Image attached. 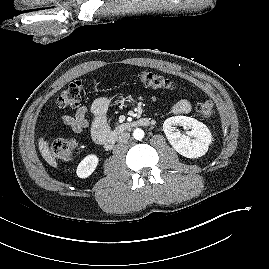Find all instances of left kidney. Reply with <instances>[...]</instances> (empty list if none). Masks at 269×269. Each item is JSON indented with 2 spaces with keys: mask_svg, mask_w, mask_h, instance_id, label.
Instances as JSON below:
<instances>
[{
  "mask_svg": "<svg viewBox=\"0 0 269 269\" xmlns=\"http://www.w3.org/2000/svg\"><path fill=\"white\" fill-rule=\"evenodd\" d=\"M183 126L187 131L182 135L176 126ZM163 131L173 146L182 156L198 158L208 151L212 135L208 127L198 120L187 116H173L164 121Z\"/></svg>",
  "mask_w": 269,
  "mask_h": 269,
  "instance_id": "obj_1",
  "label": "left kidney"
}]
</instances>
